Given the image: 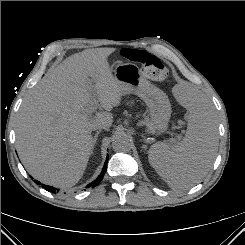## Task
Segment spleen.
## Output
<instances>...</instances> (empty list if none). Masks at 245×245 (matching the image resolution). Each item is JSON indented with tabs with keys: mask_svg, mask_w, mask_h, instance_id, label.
<instances>
[{
	"mask_svg": "<svg viewBox=\"0 0 245 245\" xmlns=\"http://www.w3.org/2000/svg\"><path fill=\"white\" fill-rule=\"evenodd\" d=\"M188 110L185 138L174 146L157 142L149 149V163L172 189H187L210 170L219 139L216 114L198 89L184 86L181 97Z\"/></svg>",
	"mask_w": 245,
	"mask_h": 245,
	"instance_id": "3e777b00",
	"label": "spleen"
}]
</instances>
